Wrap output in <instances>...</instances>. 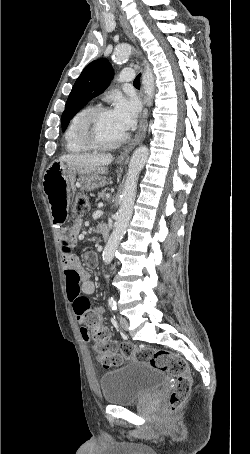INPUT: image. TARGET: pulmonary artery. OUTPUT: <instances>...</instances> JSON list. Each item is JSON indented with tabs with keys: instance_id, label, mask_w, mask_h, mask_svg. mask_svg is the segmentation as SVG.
<instances>
[{
	"instance_id": "pulmonary-artery-1",
	"label": "pulmonary artery",
	"mask_w": 250,
	"mask_h": 454,
	"mask_svg": "<svg viewBox=\"0 0 250 454\" xmlns=\"http://www.w3.org/2000/svg\"><path fill=\"white\" fill-rule=\"evenodd\" d=\"M134 79V72L131 68L122 69L119 73L118 80L120 82H130Z\"/></svg>"
}]
</instances>
